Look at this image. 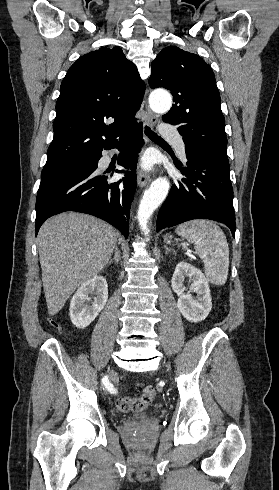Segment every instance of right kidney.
Wrapping results in <instances>:
<instances>
[{"label":"right kidney","mask_w":279,"mask_h":490,"mask_svg":"<svg viewBox=\"0 0 279 490\" xmlns=\"http://www.w3.org/2000/svg\"><path fill=\"white\" fill-rule=\"evenodd\" d=\"M89 294H95L96 296L92 306L85 304ZM107 300L108 286L106 278H103V276H92L90 280H86L71 298L69 316L72 324L76 328H87L97 318L99 312H102Z\"/></svg>","instance_id":"right-kidney-1"}]
</instances>
